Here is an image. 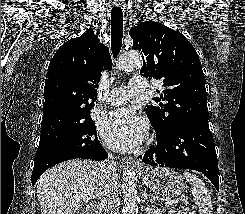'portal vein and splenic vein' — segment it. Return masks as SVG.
Returning a JSON list of instances; mask_svg holds the SVG:
<instances>
[{
  "mask_svg": "<svg viewBox=\"0 0 245 214\" xmlns=\"http://www.w3.org/2000/svg\"><path fill=\"white\" fill-rule=\"evenodd\" d=\"M78 198H81L83 200H88L87 196H85V195H80V196H78ZM179 202H180L179 199H174V200L165 201V204L166 205H175V204H178Z\"/></svg>",
  "mask_w": 245,
  "mask_h": 214,
  "instance_id": "obj_1",
  "label": "portal vein and splenic vein"
}]
</instances>
